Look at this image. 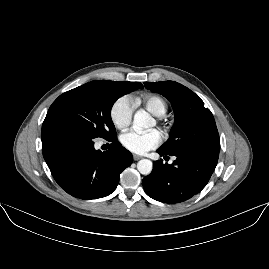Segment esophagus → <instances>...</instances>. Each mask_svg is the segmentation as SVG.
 <instances>
[{"label": "esophagus", "mask_w": 269, "mask_h": 269, "mask_svg": "<svg viewBox=\"0 0 269 269\" xmlns=\"http://www.w3.org/2000/svg\"><path fill=\"white\" fill-rule=\"evenodd\" d=\"M133 158H134V161H138V160H140L142 158V156H139L137 154H134L133 155Z\"/></svg>", "instance_id": "34e87169"}]
</instances>
